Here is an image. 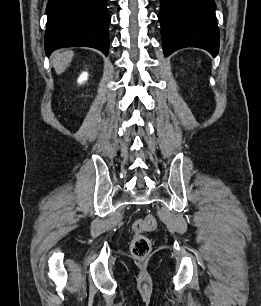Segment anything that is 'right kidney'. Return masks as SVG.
<instances>
[{"label":"right kidney","mask_w":261,"mask_h":306,"mask_svg":"<svg viewBox=\"0 0 261 306\" xmlns=\"http://www.w3.org/2000/svg\"><path fill=\"white\" fill-rule=\"evenodd\" d=\"M87 77H88V74L86 72L82 73L80 77L78 78V83L81 84L82 82L86 81Z\"/></svg>","instance_id":"right-kidney-1"}]
</instances>
